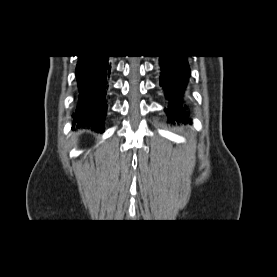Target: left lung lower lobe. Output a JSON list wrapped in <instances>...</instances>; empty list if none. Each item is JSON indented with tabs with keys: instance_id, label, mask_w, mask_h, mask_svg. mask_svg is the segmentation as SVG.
<instances>
[{
	"instance_id": "1",
	"label": "left lung lower lobe",
	"mask_w": 277,
	"mask_h": 277,
	"mask_svg": "<svg viewBox=\"0 0 277 277\" xmlns=\"http://www.w3.org/2000/svg\"><path fill=\"white\" fill-rule=\"evenodd\" d=\"M160 85L163 87L165 96L170 101L169 108L165 112L174 120L189 121L186 108L182 107L180 100L186 88L190 76V68L187 56H160ZM191 123V121H189Z\"/></svg>"
}]
</instances>
